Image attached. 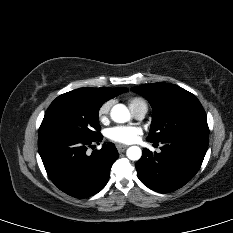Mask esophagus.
Returning <instances> with one entry per match:
<instances>
[{"label": "esophagus", "instance_id": "obj_1", "mask_svg": "<svg viewBox=\"0 0 233 233\" xmlns=\"http://www.w3.org/2000/svg\"><path fill=\"white\" fill-rule=\"evenodd\" d=\"M116 147H117L118 152H123L124 150L127 149L126 145H121V144H118Z\"/></svg>", "mask_w": 233, "mask_h": 233}]
</instances>
